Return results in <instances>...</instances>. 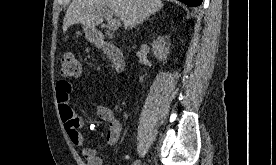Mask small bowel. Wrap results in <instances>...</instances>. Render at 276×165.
I'll list each match as a JSON object with an SVG mask.
<instances>
[{
    "instance_id": "small-bowel-1",
    "label": "small bowel",
    "mask_w": 276,
    "mask_h": 165,
    "mask_svg": "<svg viewBox=\"0 0 276 165\" xmlns=\"http://www.w3.org/2000/svg\"><path fill=\"white\" fill-rule=\"evenodd\" d=\"M74 92L73 85L66 80H60L56 84V101L59 114L63 122L65 132L70 142L81 149L86 165H103L102 159L97 155L96 150L85 145V140L80 132L84 126V120L74 111L70 104V96ZM92 91L81 95H91ZM93 108L100 121L108 124L106 141L109 145L118 142L121 134V123L115 117L113 110L105 105L94 103ZM99 122L94 121L89 125L91 130L98 128Z\"/></svg>"
}]
</instances>
